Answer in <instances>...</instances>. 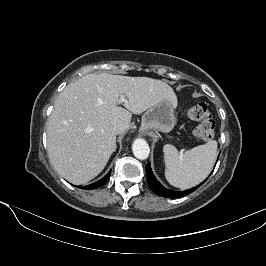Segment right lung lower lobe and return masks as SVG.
<instances>
[{"label":"right lung lower lobe","mask_w":266,"mask_h":266,"mask_svg":"<svg viewBox=\"0 0 266 266\" xmlns=\"http://www.w3.org/2000/svg\"><path fill=\"white\" fill-rule=\"evenodd\" d=\"M110 175H111V171H109L102 179H100L99 181L93 183V184H90L88 186H77L81 189H95L97 187H100L102 185H104L110 178Z\"/></svg>","instance_id":"right-lung-lower-lobe-1"}]
</instances>
